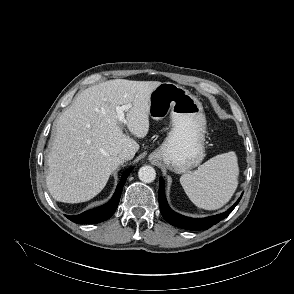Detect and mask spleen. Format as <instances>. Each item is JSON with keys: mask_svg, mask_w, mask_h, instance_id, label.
<instances>
[{"mask_svg": "<svg viewBox=\"0 0 294 294\" xmlns=\"http://www.w3.org/2000/svg\"><path fill=\"white\" fill-rule=\"evenodd\" d=\"M239 167L235 152L217 155L181 176L189 199L199 208L216 210L225 205L238 186Z\"/></svg>", "mask_w": 294, "mask_h": 294, "instance_id": "1", "label": "spleen"}]
</instances>
